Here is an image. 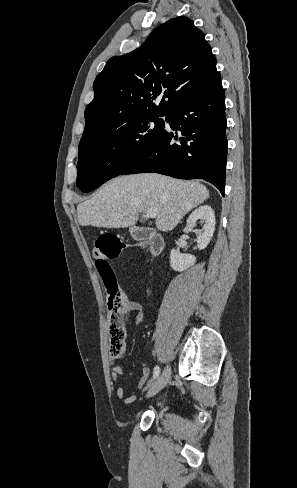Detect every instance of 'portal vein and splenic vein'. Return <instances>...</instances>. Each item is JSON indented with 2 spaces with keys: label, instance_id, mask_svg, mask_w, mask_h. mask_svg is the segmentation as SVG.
I'll use <instances>...</instances> for the list:
<instances>
[{
  "label": "portal vein and splenic vein",
  "instance_id": "1",
  "mask_svg": "<svg viewBox=\"0 0 297 488\" xmlns=\"http://www.w3.org/2000/svg\"><path fill=\"white\" fill-rule=\"evenodd\" d=\"M146 216L150 218H155L157 216V210L156 209H149L146 211Z\"/></svg>",
  "mask_w": 297,
  "mask_h": 488
}]
</instances>
